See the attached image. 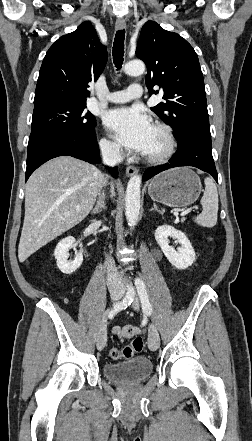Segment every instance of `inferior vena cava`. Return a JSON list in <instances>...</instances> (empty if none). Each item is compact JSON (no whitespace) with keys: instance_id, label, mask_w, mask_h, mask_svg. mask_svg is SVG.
Instances as JSON below:
<instances>
[{"instance_id":"obj_1","label":"inferior vena cava","mask_w":252,"mask_h":441,"mask_svg":"<svg viewBox=\"0 0 252 441\" xmlns=\"http://www.w3.org/2000/svg\"><path fill=\"white\" fill-rule=\"evenodd\" d=\"M101 154H102L103 162L110 167H114L115 165H118L122 161V155L120 153V148L118 146L102 145ZM101 195L102 194L99 193V197ZM106 271H107V286L109 290L122 292L124 287L121 284V281L118 277L115 262L108 255H106Z\"/></svg>"}]
</instances>
